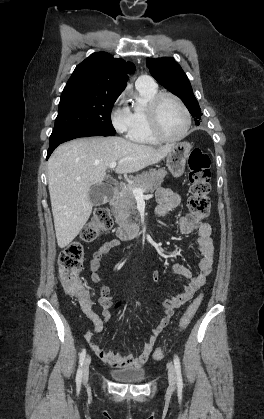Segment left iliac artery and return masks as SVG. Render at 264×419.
I'll return each mask as SVG.
<instances>
[{
    "mask_svg": "<svg viewBox=\"0 0 264 419\" xmlns=\"http://www.w3.org/2000/svg\"><path fill=\"white\" fill-rule=\"evenodd\" d=\"M174 366H175V370L177 374V384L178 386H182L183 381H182V375H181V365H180V360L177 356L174 357Z\"/></svg>",
    "mask_w": 264,
    "mask_h": 419,
    "instance_id": "left-iliac-artery-1",
    "label": "left iliac artery"
}]
</instances>
